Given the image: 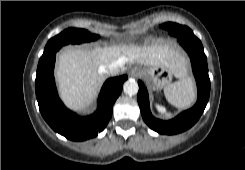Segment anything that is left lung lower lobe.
I'll return each mask as SVG.
<instances>
[{"label":"left lung lower lobe","mask_w":245,"mask_h":170,"mask_svg":"<svg viewBox=\"0 0 245 170\" xmlns=\"http://www.w3.org/2000/svg\"><path fill=\"white\" fill-rule=\"evenodd\" d=\"M178 42L190 56L193 73L197 82L198 100L191 109L182 112L169 121L154 118L149 108L147 89L142 81H138V104L140 106L142 117L151 129L160 134H177L192 127L202 115L210 95L207 58L204 54L201 41L199 39H194L188 31H185L182 33V37H178Z\"/></svg>","instance_id":"left-lung-lower-lobe-1"}]
</instances>
